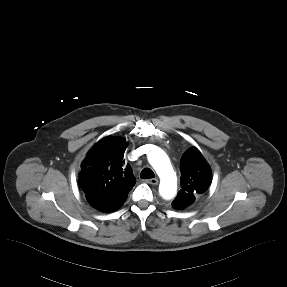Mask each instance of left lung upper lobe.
<instances>
[{"label": "left lung upper lobe", "instance_id": "5c2ea615", "mask_svg": "<svg viewBox=\"0 0 287 287\" xmlns=\"http://www.w3.org/2000/svg\"><path fill=\"white\" fill-rule=\"evenodd\" d=\"M181 187L172 202L175 209H185L190 206L196 197L203 194L211 184L212 172L196 147L189 148L180 161Z\"/></svg>", "mask_w": 287, "mask_h": 287}]
</instances>
